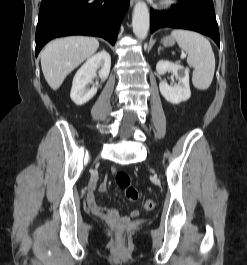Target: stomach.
<instances>
[{
    "label": "stomach",
    "mask_w": 247,
    "mask_h": 265,
    "mask_svg": "<svg viewBox=\"0 0 247 265\" xmlns=\"http://www.w3.org/2000/svg\"><path fill=\"white\" fill-rule=\"evenodd\" d=\"M162 44L165 46V47H170V46H173L174 43H175V40L168 36V37H165L161 40Z\"/></svg>",
    "instance_id": "1"
}]
</instances>
